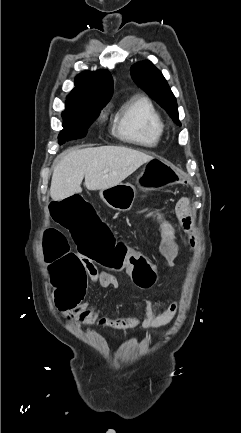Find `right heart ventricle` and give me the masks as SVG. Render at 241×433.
I'll return each instance as SVG.
<instances>
[{"label":"right heart ventricle","mask_w":241,"mask_h":433,"mask_svg":"<svg viewBox=\"0 0 241 433\" xmlns=\"http://www.w3.org/2000/svg\"><path fill=\"white\" fill-rule=\"evenodd\" d=\"M113 129L122 141L150 148L160 142L164 125L152 101L146 96L135 95L118 109Z\"/></svg>","instance_id":"obj_1"}]
</instances>
